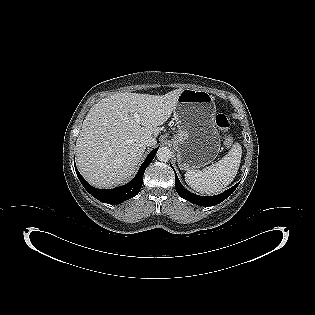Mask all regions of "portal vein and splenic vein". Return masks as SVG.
<instances>
[{"instance_id": "portal-vein-and-splenic-vein-1", "label": "portal vein and splenic vein", "mask_w": 315, "mask_h": 315, "mask_svg": "<svg viewBox=\"0 0 315 315\" xmlns=\"http://www.w3.org/2000/svg\"><path fill=\"white\" fill-rule=\"evenodd\" d=\"M134 117H135V120H136L137 122H139V116H138V114H134Z\"/></svg>"}]
</instances>
